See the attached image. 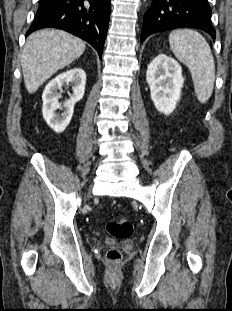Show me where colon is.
<instances>
[{
	"instance_id": "colon-1",
	"label": "colon",
	"mask_w": 232,
	"mask_h": 311,
	"mask_svg": "<svg viewBox=\"0 0 232 311\" xmlns=\"http://www.w3.org/2000/svg\"><path fill=\"white\" fill-rule=\"evenodd\" d=\"M106 230L115 238L126 239L132 235L133 225L129 220L120 218L108 221ZM105 257L110 264H118L122 260V253L119 249L112 248L106 252Z\"/></svg>"
}]
</instances>
